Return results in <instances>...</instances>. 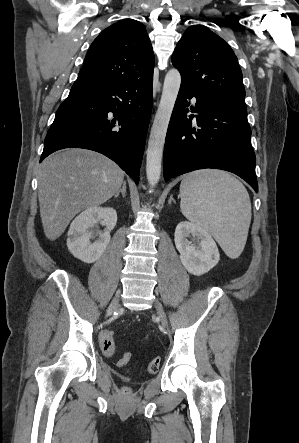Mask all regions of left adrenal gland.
<instances>
[{
    "instance_id": "left-adrenal-gland-1",
    "label": "left adrenal gland",
    "mask_w": 299,
    "mask_h": 443,
    "mask_svg": "<svg viewBox=\"0 0 299 443\" xmlns=\"http://www.w3.org/2000/svg\"><path fill=\"white\" fill-rule=\"evenodd\" d=\"M171 202H174V203H175V200L173 199V196H172V195L170 196V199H169V201H168V204L170 205Z\"/></svg>"
}]
</instances>
